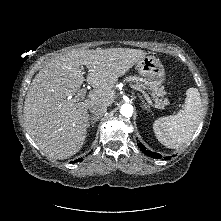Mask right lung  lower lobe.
<instances>
[{"label": "right lung lower lobe", "mask_w": 221, "mask_h": 221, "mask_svg": "<svg viewBox=\"0 0 221 221\" xmlns=\"http://www.w3.org/2000/svg\"><path fill=\"white\" fill-rule=\"evenodd\" d=\"M82 160H83V159L80 158V159H77V160L73 161V163H74V162H80V161H82Z\"/></svg>", "instance_id": "1"}]
</instances>
